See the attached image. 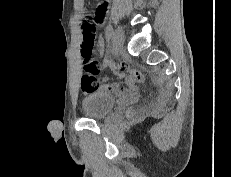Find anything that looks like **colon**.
I'll return each mask as SVG.
<instances>
[{
	"instance_id": "5ec220e1",
	"label": "colon",
	"mask_w": 231,
	"mask_h": 177,
	"mask_svg": "<svg viewBox=\"0 0 231 177\" xmlns=\"http://www.w3.org/2000/svg\"><path fill=\"white\" fill-rule=\"evenodd\" d=\"M83 45L81 48V55L83 59L84 74L81 78V90L84 93H90L95 90H106L110 87L108 85H100L97 80V75L100 72L99 63L93 57V49L96 39V26L92 21H84L82 24ZM120 71L129 72L132 80L143 83L145 80L144 74L137 70L131 69L127 63L121 62L118 65Z\"/></svg>"
}]
</instances>
